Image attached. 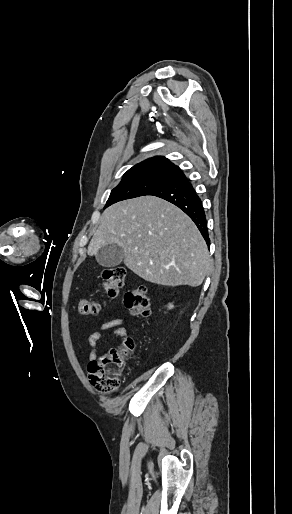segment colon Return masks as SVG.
I'll list each match as a JSON object with an SVG mask.
<instances>
[{"instance_id":"colon-1","label":"colon","mask_w":292,"mask_h":514,"mask_svg":"<svg viewBox=\"0 0 292 514\" xmlns=\"http://www.w3.org/2000/svg\"><path fill=\"white\" fill-rule=\"evenodd\" d=\"M125 269L122 267L108 268L102 271L100 283L104 290L102 301L90 297H81L79 312L83 316L96 314L105 299L115 297L124 287ZM125 304L136 318L147 317L150 314V293L147 286H134L126 293ZM134 339H124L121 348H110L103 352L97 360L88 364V378L91 385L100 393L115 394L119 390V376L133 347Z\"/></svg>"}]
</instances>
